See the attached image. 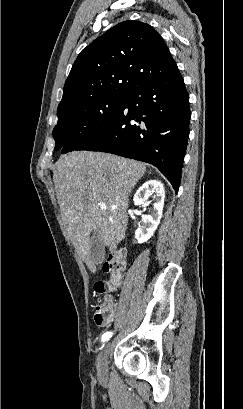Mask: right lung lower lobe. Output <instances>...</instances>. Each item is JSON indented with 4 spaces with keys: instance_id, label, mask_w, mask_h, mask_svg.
<instances>
[{
    "instance_id": "98d812e1",
    "label": "right lung lower lobe",
    "mask_w": 243,
    "mask_h": 409,
    "mask_svg": "<svg viewBox=\"0 0 243 409\" xmlns=\"http://www.w3.org/2000/svg\"><path fill=\"white\" fill-rule=\"evenodd\" d=\"M190 117L189 95L177 69L134 88L111 123L74 150L107 152L150 163L178 192Z\"/></svg>"
}]
</instances>
